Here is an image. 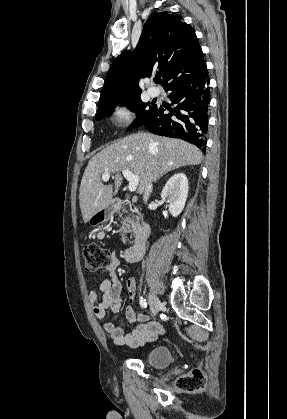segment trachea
I'll use <instances>...</instances> for the list:
<instances>
[{"instance_id":"1","label":"trachea","mask_w":287,"mask_h":419,"mask_svg":"<svg viewBox=\"0 0 287 419\" xmlns=\"http://www.w3.org/2000/svg\"><path fill=\"white\" fill-rule=\"evenodd\" d=\"M154 82L155 83H160L161 82V78L160 77H155L154 78Z\"/></svg>"}]
</instances>
